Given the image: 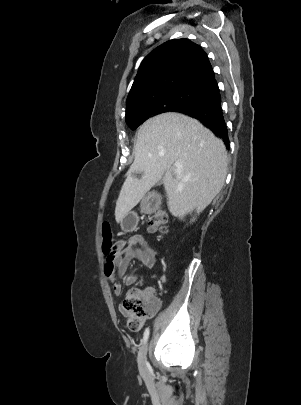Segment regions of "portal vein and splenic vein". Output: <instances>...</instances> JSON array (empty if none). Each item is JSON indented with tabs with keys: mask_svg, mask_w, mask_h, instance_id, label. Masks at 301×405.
I'll return each mask as SVG.
<instances>
[{
	"mask_svg": "<svg viewBox=\"0 0 301 405\" xmlns=\"http://www.w3.org/2000/svg\"><path fill=\"white\" fill-rule=\"evenodd\" d=\"M176 167H179L180 166V162H175V164H174Z\"/></svg>",
	"mask_w": 301,
	"mask_h": 405,
	"instance_id": "portal-vein-and-splenic-vein-1",
	"label": "portal vein and splenic vein"
}]
</instances>
